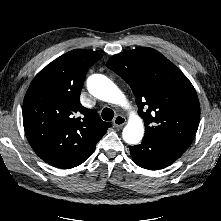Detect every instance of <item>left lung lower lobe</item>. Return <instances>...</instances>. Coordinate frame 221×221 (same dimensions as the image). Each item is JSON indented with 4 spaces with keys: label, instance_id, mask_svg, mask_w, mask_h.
<instances>
[{
    "label": "left lung lower lobe",
    "instance_id": "obj_1",
    "mask_svg": "<svg viewBox=\"0 0 221 221\" xmlns=\"http://www.w3.org/2000/svg\"><path fill=\"white\" fill-rule=\"evenodd\" d=\"M133 161L148 170H158L174 163L183 153L148 138L141 144L130 146Z\"/></svg>",
    "mask_w": 221,
    "mask_h": 221
}]
</instances>
